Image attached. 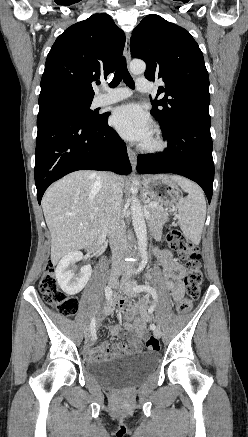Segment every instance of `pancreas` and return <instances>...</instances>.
Masks as SVG:
<instances>
[{"mask_svg": "<svg viewBox=\"0 0 248 437\" xmlns=\"http://www.w3.org/2000/svg\"><path fill=\"white\" fill-rule=\"evenodd\" d=\"M157 205L154 207L148 206V211L151 216V225L154 234L160 232L163 225L169 220V214L166 208L158 202H154Z\"/></svg>", "mask_w": 248, "mask_h": 437, "instance_id": "pancreas-1", "label": "pancreas"}]
</instances>
